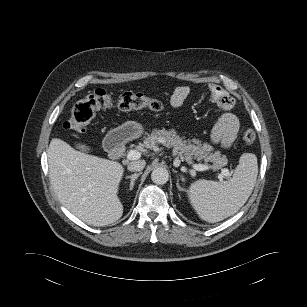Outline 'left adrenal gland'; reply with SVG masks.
<instances>
[{
  "label": "left adrenal gland",
  "instance_id": "1",
  "mask_svg": "<svg viewBox=\"0 0 307 307\" xmlns=\"http://www.w3.org/2000/svg\"><path fill=\"white\" fill-rule=\"evenodd\" d=\"M176 185L179 191H184V189L179 185V179H177Z\"/></svg>",
  "mask_w": 307,
  "mask_h": 307
}]
</instances>
